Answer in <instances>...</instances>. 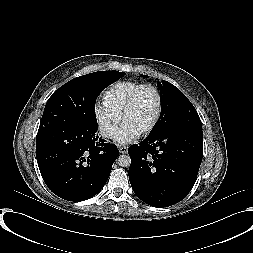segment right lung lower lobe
Instances as JSON below:
<instances>
[{"instance_id":"right-lung-lower-lobe-1","label":"right lung lower lobe","mask_w":253,"mask_h":253,"mask_svg":"<svg viewBox=\"0 0 253 253\" xmlns=\"http://www.w3.org/2000/svg\"><path fill=\"white\" fill-rule=\"evenodd\" d=\"M97 129L84 124L37 134L36 157L48 188L69 201H84L105 185L119 155L115 144L103 143Z\"/></svg>"}]
</instances>
